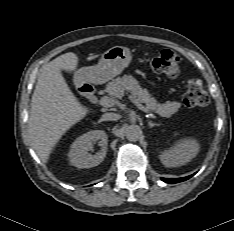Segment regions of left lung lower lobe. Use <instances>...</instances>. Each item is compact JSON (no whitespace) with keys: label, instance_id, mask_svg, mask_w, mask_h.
I'll return each mask as SVG.
<instances>
[{"label":"left lung lower lobe","instance_id":"left-lung-lower-lobe-1","mask_svg":"<svg viewBox=\"0 0 234 231\" xmlns=\"http://www.w3.org/2000/svg\"><path fill=\"white\" fill-rule=\"evenodd\" d=\"M193 175H190V176H187V177H183V178H162V180L164 182H167V183H178V182H182V181H185L187 179H189L190 177H192Z\"/></svg>","mask_w":234,"mask_h":231}]
</instances>
